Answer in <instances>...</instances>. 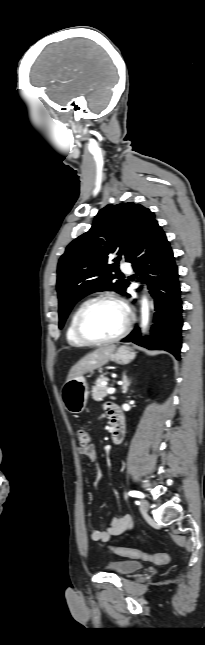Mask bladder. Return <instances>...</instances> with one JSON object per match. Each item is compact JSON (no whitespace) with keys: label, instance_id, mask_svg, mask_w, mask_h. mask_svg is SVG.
Returning a JSON list of instances; mask_svg holds the SVG:
<instances>
[{"label":"bladder","instance_id":"obj_1","mask_svg":"<svg viewBox=\"0 0 205 645\" xmlns=\"http://www.w3.org/2000/svg\"><path fill=\"white\" fill-rule=\"evenodd\" d=\"M106 569L119 575H130L143 568V564L137 560L121 559L113 560L106 564Z\"/></svg>","mask_w":205,"mask_h":645}]
</instances>
